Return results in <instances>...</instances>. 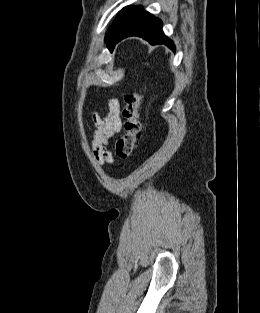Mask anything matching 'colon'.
I'll list each match as a JSON object with an SVG mask.
<instances>
[{
    "label": "colon",
    "mask_w": 260,
    "mask_h": 313,
    "mask_svg": "<svg viewBox=\"0 0 260 313\" xmlns=\"http://www.w3.org/2000/svg\"><path fill=\"white\" fill-rule=\"evenodd\" d=\"M122 110L124 132L115 143V155L119 163L129 159L134 152L137 140L141 134L140 108L143 102L138 92H128Z\"/></svg>",
    "instance_id": "colon-1"
}]
</instances>
